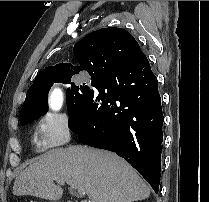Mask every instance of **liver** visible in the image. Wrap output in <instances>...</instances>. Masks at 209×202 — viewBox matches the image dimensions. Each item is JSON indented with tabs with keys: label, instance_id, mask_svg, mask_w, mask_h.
Here are the masks:
<instances>
[{
	"label": "liver",
	"instance_id": "obj_1",
	"mask_svg": "<svg viewBox=\"0 0 209 202\" xmlns=\"http://www.w3.org/2000/svg\"><path fill=\"white\" fill-rule=\"evenodd\" d=\"M61 179L73 189L85 191L82 202H133L149 197L150 188L137 172L114 153L72 145L38 157L15 179L13 194L58 200Z\"/></svg>",
	"mask_w": 209,
	"mask_h": 202
}]
</instances>
